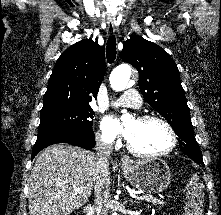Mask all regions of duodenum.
<instances>
[{
  "instance_id": "obj_1",
  "label": "duodenum",
  "mask_w": 221,
  "mask_h": 215,
  "mask_svg": "<svg viewBox=\"0 0 221 215\" xmlns=\"http://www.w3.org/2000/svg\"><path fill=\"white\" fill-rule=\"evenodd\" d=\"M92 213H93L92 207H91V206H88V207L86 208V215H92Z\"/></svg>"
}]
</instances>
